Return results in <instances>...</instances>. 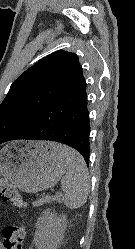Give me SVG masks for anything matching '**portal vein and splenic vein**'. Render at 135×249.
<instances>
[{
  "label": "portal vein and splenic vein",
  "instance_id": "1",
  "mask_svg": "<svg viewBox=\"0 0 135 249\" xmlns=\"http://www.w3.org/2000/svg\"><path fill=\"white\" fill-rule=\"evenodd\" d=\"M59 195H61V192H56L55 196H59Z\"/></svg>",
  "mask_w": 135,
  "mask_h": 249
}]
</instances>
